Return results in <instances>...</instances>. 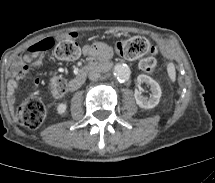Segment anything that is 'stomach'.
Returning <instances> with one entry per match:
<instances>
[{
	"instance_id": "0dacf381",
	"label": "stomach",
	"mask_w": 215,
	"mask_h": 183,
	"mask_svg": "<svg viewBox=\"0 0 215 183\" xmlns=\"http://www.w3.org/2000/svg\"><path fill=\"white\" fill-rule=\"evenodd\" d=\"M120 35H121L120 33H114L115 37H120Z\"/></svg>"
}]
</instances>
